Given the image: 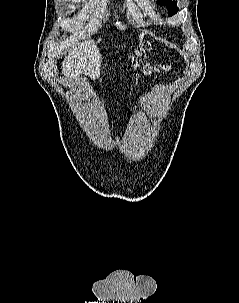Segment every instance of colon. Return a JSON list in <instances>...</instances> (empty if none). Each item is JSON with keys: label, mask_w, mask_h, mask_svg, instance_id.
Listing matches in <instances>:
<instances>
[{"label": "colon", "mask_w": 239, "mask_h": 303, "mask_svg": "<svg viewBox=\"0 0 239 303\" xmlns=\"http://www.w3.org/2000/svg\"><path fill=\"white\" fill-rule=\"evenodd\" d=\"M169 70V66L167 65H158L155 67H146V69L144 70V74L145 75H150L153 72H167Z\"/></svg>", "instance_id": "5ec220e1"}]
</instances>
